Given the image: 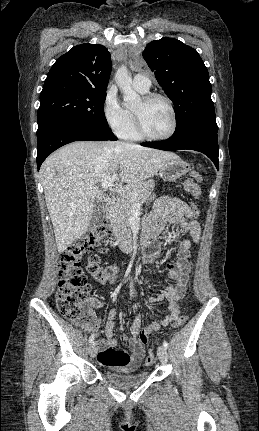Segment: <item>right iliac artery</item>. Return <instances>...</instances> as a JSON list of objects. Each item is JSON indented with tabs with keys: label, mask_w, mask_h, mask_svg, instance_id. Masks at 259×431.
I'll list each match as a JSON object with an SVG mask.
<instances>
[{
	"label": "right iliac artery",
	"mask_w": 259,
	"mask_h": 431,
	"mask_svg": "<svg viewBox=\"0 0 259 431\" xmlns=\"http://www.w3.org/2000/svg\"><path fill=\"white\" fill-rule=\"evenodd\" d=\"M94 341V334H92L89 338V343H92Z\"/></svg>",
	"instance_id": "obj_1"
}]
</instances>
